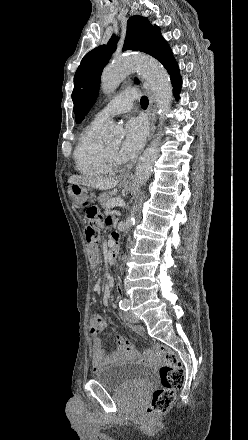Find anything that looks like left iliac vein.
I'll use <instances>...</instances> for the list:
<instances>
[{
	"label": "left iliac vein",
	"instance_id": "1",
	"mask_svg": "<svg viewBox=\"0 0 248 440\" xmlns=\"http://www.w3.org/2000/svg\"><path fill=\"white\" fill-rule=\"evenodd\" d=\"M125 319L129 322H138V318L136 317V315L132 312V311H128L125 313Z\"/></svg>",
	"mask_w": 248,
	"mask_h": 440
}]
</instances>
